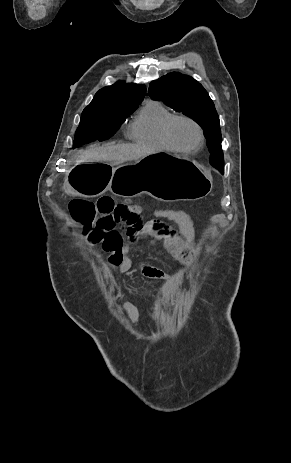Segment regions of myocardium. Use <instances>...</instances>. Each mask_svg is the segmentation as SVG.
<instances>
[{"instance_id": "f54148a6", "label": "myocardium", "mask_w": 291, "mask_h": 463, "mask_svg": "<svg viewBox=\"0 0 291 463\" xmlns=\"http://www.w3.org/2000/svg\"><path fill=\"white\" fill-rule=\"evenodd\" d=\"M178 121H186L190 124H192L197 132H198V142L196 144V146L192 147V148H184V147H181L180 145H178L175 140L173 139L172 137V128L174 126V124ZM163 136H164V139L165 141L167 142V144L175 151L177 152H180V153H183V154H194L196 153L197 151H199L202 146L204 145V141H205V135H204V131H203V128L201 127V125L193 118L189 117V116H186V115H174L173 117H171L165 124L164 128H163Z\"/></svg>"}]
</instances>
